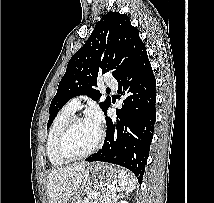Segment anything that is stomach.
<instances>
[{
  "mask_svg": "<svg viewBox=\"0 0 214 203\" xmlns=\"http://www.w3.org/2000/svg\"><path fill=\"white\" fill-rule=\"evenodd\" d=\"M116 178L117 170L113 166L103 163L91 164L83 172L80 191L87 194L99 193L101 195L115 187ZM99 199L100 196L95 201L99 203Z\"/></svg>",
  "mask_w": 214,
  "mask_h": 203,
  "instance_id": "stomach-1",
  "label": "stomach"
}]
</instances>
